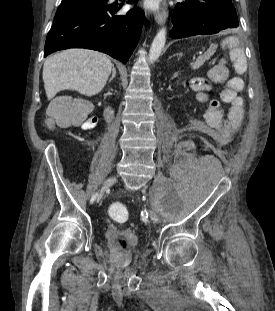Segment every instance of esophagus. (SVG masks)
<instances>
[{"label":"esophagus","mask_w":275,"mask_h":311,"mask_svg":"<svg viewBox=\"0 0 275 311\" xmlns=\"http://www.w3.org/2000/svg\"><path fill=\"white\" fill-rule=\"evenodd\" d=\"M166 18H167V8L165 3H163L161 9L155 14V20L158 24H163Z\"/></svg>","instance_id":"1"}]
</instances>
